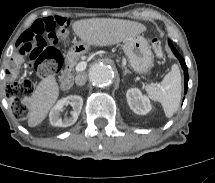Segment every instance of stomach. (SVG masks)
Masks as SVG:
<instances>
[{
  "label": "stomach",
  "instance_id": "obj_1",
  "mask_svg": "<svg viewBox=\"0 0 215 183\" xmlns=\"http://www.w3.org/2000/svg\"><path fill=\"white\" fill-rule=\"evenodd\" d=\"M89 45L84 42L76 43L68 52V62L77 59L88 50ZM123 50L131 68L139 74H146L153 66L154 55L148 41L140 35H135L124 41Z\"/></svg>",
  "mask_w": 215,
  "mask_h": 183
}]
</instances>
